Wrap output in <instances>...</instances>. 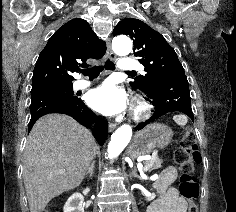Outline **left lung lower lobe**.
I'll return each mask as SVG.
<instances>
[{
    "instance_id": "0a47b994",
    "label": "left lung lower lobe",
    "mask_w": 236,
    "mask_h": 212,
    "mask_svg": "<svg viewBox=\"0 0 236 212\" xmlns=\"http://www.w3.org/2000/svg\"><path fill=\"white\" fill-rule=\"evenodd\" d=\"M146 94L147 100L155 107V111L150 119L138 125V130L164 114L174 111L183 112L194 120L189 83L185 74H178L171 79L160 82L155 90Z\"/></svg>"
}]
</instances>
